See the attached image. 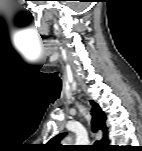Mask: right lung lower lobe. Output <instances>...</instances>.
Returning a JSON list of instances; mask_svg holds the SVG:
<instances>
[{"mask_svg":"<svg viewBox=\"0 0 142 151\" xmlns=\"http://www.w3.org/2000/svg\"><path fill=\"white\" fill-rule=\"evenodd\" d=\"M105 147H108V145L106 144V145H104Z\"/></svg>","mask_w":142,"mask_h":151,"instance_id":"obj_1","label":"right lung lower lobe"}]
</instances>
